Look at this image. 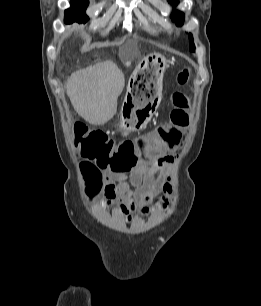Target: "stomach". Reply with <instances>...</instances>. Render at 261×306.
Here are the masks:
<instances>
[{
  "label": "stomach",
  "instance_id": "0dacf381",
  "mask_svg": "<svg viewBox=\"0 0 261 306\" xmlns=\"http://www.w3.org/2000/svg\"><path fill=\"white\" fill-rule=\"evenodd\" d=\"M170 61L159 53L144 59L147 76L129 86L121 109L123 127L130 132L143 129L150 121L162 99L163 77Z\"/></svg>",
  "mask_w": 261,
  "mask_h": 306
}]
</instances>
